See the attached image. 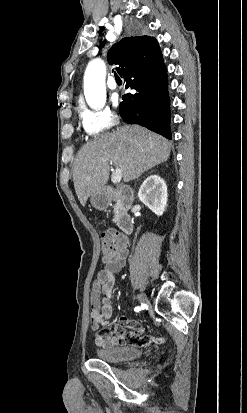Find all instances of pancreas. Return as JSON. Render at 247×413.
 I'll return each mask as SVG.
<instances>
[{
  "label": "pancreas",
  "instance_id": "1",
  "mask_svg": "<svg viewBox=\"0 0 247 413\" xmlns=\"http://www.w3.org/2000/svg\"><path fill=\"white\" fill-rule=\"evenodd\" d=\"M116 219H117V217H116V215H115V217H114V221H116Z\"/></svg>",
  "mask_w": 247,
  "mask_h": 413
}]
</instances>
